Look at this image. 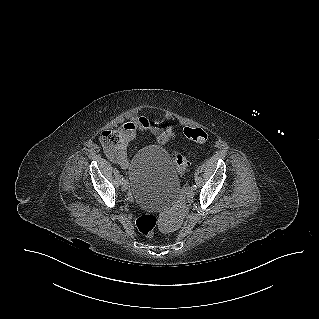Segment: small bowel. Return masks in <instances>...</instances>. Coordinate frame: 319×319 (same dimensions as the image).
Masks as SVG:
<instances>
[{
  "instance_id": "1",
  "label": "small bowel",
  "mask_w": 319,
  "mask_h": 319,
  "mask_svg": "<svg viewBox=\"0 0 319 319\" xmlns=\"http://www.w3.org/2000/svg\"><path fill=\"white\" fill-rule=\"evenodd\" d=\"M140 132H150L162 144L176 138L172 126L163 127L156 119L137 116L127 123L116 122L103 132L102 143L107 157L126 169L129 163L128 145Z\"/></svg>"
}]
</instances>
